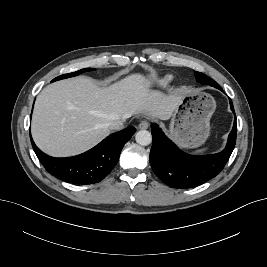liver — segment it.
I'll use <instances>...</instances> for the list:
<instances>
[{
    "label": "liver",
    "instance_id": "obj_1",
    "mask_svg": "<svg viewBox=\"0 0 267 267\" xmlns=\"http://www.w3.org/2000/svg\"><path fill=\"white\" fill-rule=\"evenodd\" d=\"M183 91L168 95L151 89L140 73L101 88L88 77L61 80L38 95L31 124L32 137L45 153L68 157L92 148L109 135V123L134 115L167 120Z\"/></svg>",
    "mask_w": 267,
    "mask_h": 267
}]
</instances>
